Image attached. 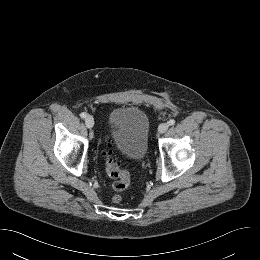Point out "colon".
Returning a JSON list of instances; mask_svg holds the SVG:
<instances>
[{
	"label": "colon",
	"mask_w": 260,
	"mask_h": 260,
	"mask_svg": "<svg viewBox=\"0 0 260 260\" xmlns=\"http://www.w3.org/2000/svg\"><path fill=\"white\" fill-rule=\"evenodd\" d=\"M105 170L107 175L114 179L112 187L115 193L112 196V201L118 204L122 201L120 193L127 189L130 184V176L128 172L120 169L118 163L109 152L105 154Z\"/></svg>",
	"instance_id": "obj_1"
}]
</instances>
